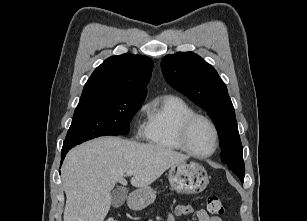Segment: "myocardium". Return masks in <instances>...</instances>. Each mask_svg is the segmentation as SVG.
Returning <instances> with one entry per match:
<instances>
[{
    "mask_svg": "<svg viewBox=\"0 0 307 221\" xmlns=\"http://www.w3.org/2000/svg\"><path fill=\"white\" fill-rule=\"evenodd\" d=\"M197 120H203L205 121L212 129L213 134H214V147L213 149L206 154H199L196 153L189 145L188 143V134L189 131L192 127V125L197 121ZM219 132L217 129V126L215 125V123L207 116L203 115V114H199V113H193L191 115H189L188 117H186L180 127H179V131H178V142L182 148V150H184L186 153H188L189 155L195 157V158H199V159H206L209 158L211 156H213L216 151L218 150L219 147Z\"/></svg>",
    "mask_w": 307,
    "mask_h": 221,
    "instance_id": "f54148a6",
    "label": "myocardium"
}]
</instances>
